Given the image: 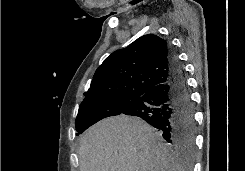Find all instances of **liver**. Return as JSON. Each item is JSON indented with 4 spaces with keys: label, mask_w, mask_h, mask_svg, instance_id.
Masks as SVG:
<instances>
[{
    "label": "liver",
    "mask_w": 245,
    "mask_h": 171,
    "mask_svg": "<svg viewBox=\"0 0 245 171\" xmlns=\"http://www.w3.org/2000/svg\"><path fill=\"white\" fill-rule=\"evenodd\" d=\"M80 171H184L139 118L120 115L90 127L80 139Z\"/></svg>",
    "instance_id": "6515ba94"
}]
</instances>
